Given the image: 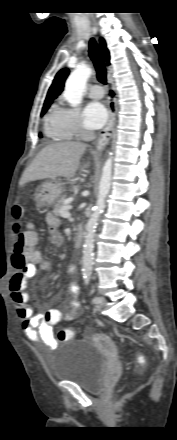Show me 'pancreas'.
I'll return each instance as SVG.
<instances>
[{
	"label": "pancreas",
	"mask_w": 177,
	"mask_h": 440,
	"mask_svg": "<svg viewBox=\"0 0 177 440\" xmlns=\"http://www.w3.org/2000/svg\"><path fill=\"white\" fill-rule=\"evenodd\" d=\"M65 200H66V196H62L60 199L57 200L53 208L54 215L60 216V210L63 206H65L64 205Z\"/></svg>",
	"instance_id": "obj_1"
}]
</instances>
